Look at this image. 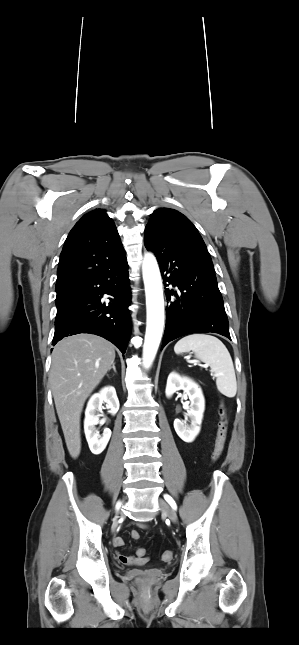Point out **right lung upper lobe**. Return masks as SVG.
<instances>
[{"mask_svg":"<svg viewBox=\"0 0 299 645\" xmlns=\"http://www.w3.org/2000/svg\"><path fill=\"white\" fill-rule=\"evenodd\" d=\"M126 257L114 222L104 210L84 215L70 231L60 254L56 291L70 289Z\"/></svg>","mask_w":299,"mask_h":645,"instance_id":"right-lung-upper-lobe-1","label":"right lung upper lobe"}]
</instances>
